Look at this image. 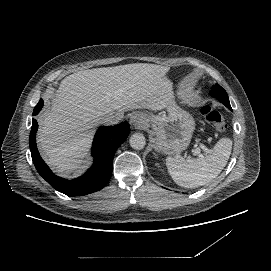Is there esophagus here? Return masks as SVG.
Wrapping results in <instances>:
<instances>
[{
    "label": "esophagus",
    "mask_w": 271,
    "mask_h": 271,
    "mask_svg": "<svg viewBox=\"0 0 271 271\" xmlns=\"http://www.w3.org/2000/svg\"><path fill=\"white\" fill-rule=\"evenodd\" d=\"M130 125L135 129H143L146 126V118L141 113H134L130 116Z\"/></svg>",
    "instance_id": "esophagus-1"
}]
</instances>
